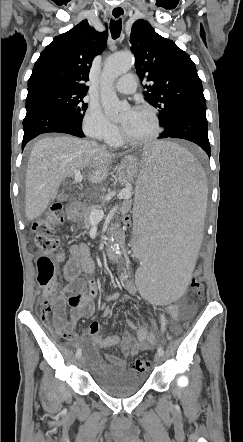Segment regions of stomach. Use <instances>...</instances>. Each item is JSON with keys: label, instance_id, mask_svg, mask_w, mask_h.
<instances>
[{"label": "stomach", "instance_id": "obj_1", "mask_svg": "<svg viewBox=\"0 0 243 442\" xmlns=\"http://www.w3.org/2000/svg\"><path fill=\"white\" fill-rule=\"evenodd\" d=\"M139 163L137 157L126 156L117 168V177L121 184H125L132 181L137 174L136 167Z\"/></svg>", "mask_w": 243, "mask_h": 442}]
</instances>
